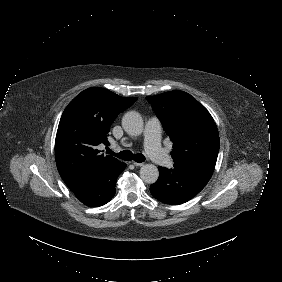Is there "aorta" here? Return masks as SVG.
Here are the masks:
<instances>
[{
    "label": "aorta",
    "mask_w": 282,
    "mask_h": 282,
    "mask_svg": "<svg viewBox=\"0 0 282 282\" xmlns=\"http://www.w3.org/2000/svg\"><path fill=\"white\" fill-rule=\"evenodd\" d=\"M122 126L128 134L137 135L142 131L143 118L138 111L129 110L122 117ZM140 178L147 184H154L159 178L158 168L152 164L142 166Z\"/></svg>",
    "instance_id": "762f6f07"
}]
</instances>
